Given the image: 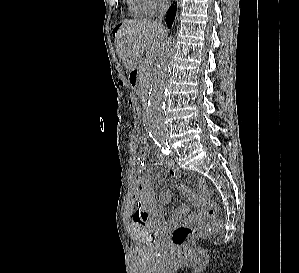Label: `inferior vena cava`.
Instances as JSON below:
<instances>
[{"label": "inferior vena cava", "instance_id": "602c4592", "mask_svg": "<svg viewBox=\"0 0 299 273\" xmlns=\"http://www.w3.org/2000/svg\"><path fill=\"white\" fill-rule=\"evenodd\" d=\"M166 9H167V0H160V3H159V12H160V14H159L158 19L156 20V22L161 26H162L161 21H162L163 15L166 12Z\"/></svg>", "mask_w": 299, "mask_h": 273}]
</instances>
